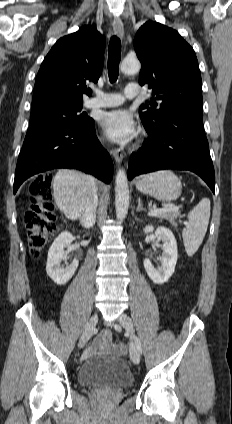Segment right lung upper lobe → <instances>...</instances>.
I'll list each match as a JSON object with an SVG mask.
<instances>
[{"mask_svg":"<svg viewBox=\"0 0 232 424\" xmlns=\"http://www.w3.org/2000/svg\"><path fill=\"white\" fill-rule=\"evenodd\" d=\"M105 38L94 26L59 39L37 74L32 108L59 103L82 105L83 94L91 95L89 82H97L103 68Z\"/></svg>","mask_w":232,"mask_h":424,"instance_id":"cb5924a9","label":"right lung upper lobe"}]
</instances>
